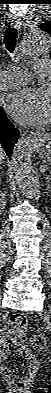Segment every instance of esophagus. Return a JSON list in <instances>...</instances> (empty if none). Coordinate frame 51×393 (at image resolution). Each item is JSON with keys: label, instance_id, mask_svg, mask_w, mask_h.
Instances as JSON below:
<instances>
[{"label": "esophagus", "instance_id": "34e87169", "mask_svg": "<svg viewBox=\"0 0 51 393\" xmlns=\"http://www.w3.org/2000/svg\"><path fill=\"white\" fill-rule=\"evenodd\" d=\"M12 25L17 28L20 29V23L19 22H13Z\"/></svg>", "mask_w": 51, "mask_h": 393}]
</instances>
